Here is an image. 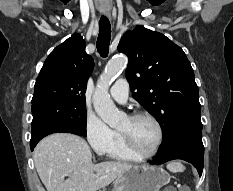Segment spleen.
<instances>
[{
	"label": "spleen",
	"instance_id": "3e777b00",
	"mask_svg": "<svg viewBox=\"0 0 233 191\" xmlns=\"http://www.w3.org/2000/svg\"><path fill=\"white\" fill-rule=\"evenodd\" d=\"M167 169L173 173L183 172L185 167L180 162H170L167 164Z\"/></svg>",
	"mask_w": 233,
	"mask_h": 191
}]
</instances>
